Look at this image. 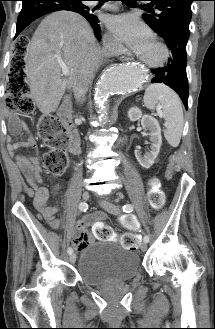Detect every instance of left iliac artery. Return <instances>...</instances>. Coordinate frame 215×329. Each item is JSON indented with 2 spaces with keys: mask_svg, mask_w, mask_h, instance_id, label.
I'll return each mask as SVG.
<instances>
[{
  "mask_svg": "<svg viewBox=\"0 0 215 329\" xmlns=\"http://www.w3.org/2000/svg\"><path fill=\"white\" fill-rule=\"evenodd\" d=\"M123 212L130 213L133 211V206L131 204H125L123 207ZM144 242L148 243L149 242V236L145 235L144 236Z\"/></svg>",
  "mask_w": 215,
  "mask_h": 329,
  "instance_id": "1",
  "label": "left iliac artery"
}]
</instances>
